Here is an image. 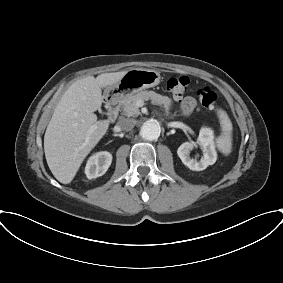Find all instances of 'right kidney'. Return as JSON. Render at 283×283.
<instances>
[{
	"label": "right kidney",
	"mask_w": 283,
	"mask_h": 283,
	"mask_svg": "<svg viewBox=\"0 0 283 283\" xmlns=\"http://www.w3.org/2000/svg\"><path fill=\"white\" fill-rule=\"evenodd\" d=\"M112 162V155L107 151L92 155L86 164L85 174L88 179L97 178L105 174Z\"/></svg>",
	"instance_id": "obj_1"
}]
</instances>
